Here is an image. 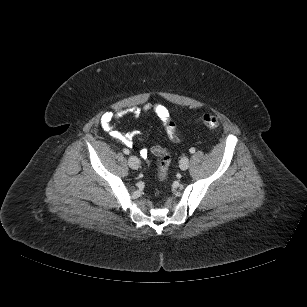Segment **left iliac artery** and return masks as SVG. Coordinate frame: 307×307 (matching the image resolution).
Listing matches in <instances>:
<instances>
[{
    "label": "left iliac artery",
    "instance_id": "1",
    "mask_svg": "<svg viewBox=\"0 0 307 307\" xmlns=\"http://www.w3.org/2000/svg\"><path fill=\"white\" fill-rule=\"evenodd\" d=\"M189 151H190V153H195V148L192 147V148H190Z\"/></svg>",
    "mask_w": 307,
    "mask_h": 307
}]
</instances>
